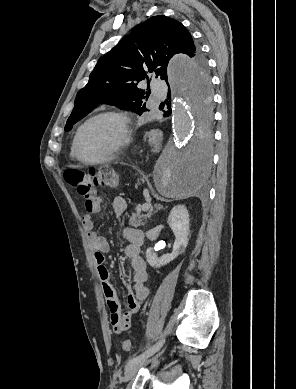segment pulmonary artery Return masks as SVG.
Wrapping results in <instances>:
<instances>
[{
	"instance_id": "e3ab8cb5",
	"label": "pulmonary artery",
	"mask_w": 296,
	"mask_h": 389,
	"mask_svg": "<svg viewBox=\"0 0 296 389\" xmlns=\"http://www.w3.org/2000/svg\"><path fill=\"white\" fill-rule=\"evenodd\" d=\"M151 88H152V91L154 92V94L159 99H162L165 96L166 91H165L164 85H162L160 83H153Z\"/></svg>"
}]
</instances>
